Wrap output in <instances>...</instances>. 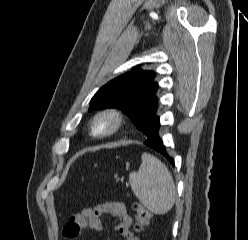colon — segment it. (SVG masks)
Instances as JSON below:
<instances>
[{
	"mask_svg": "<svg viewBox=\"0 0 248 240\" xmlns=\"http://www.w3.org/2000/svg\"><path fill=\"white\" fill-rule=\"evenodd\" d=\"M133 208H134L135 215H136L135 228H136V231L138 233H140L149 224L151 215H150L149 211L139 203H134ZM139 239H140L139 237L135 238V240H139Z\"/></svg>",
	"mask_w": 248,
	"mask_h": 240,
	"instance_id": "5ec220e1",
	"label": "colon"
}]
</instances>
